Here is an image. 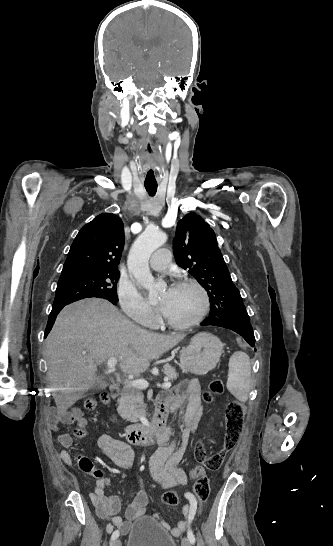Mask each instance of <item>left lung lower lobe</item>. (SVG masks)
Listing matches in <instances>:
<instances>
[{
  "mask_svg": "<svg viewBox=\"0 0 333 546\" xmlns=\"http://www.w3.org/2000/svg\"><path fill=\"white\" fill-rule=\"evenodd\" d=\"M201 325H215L233 330L240 334L250 346L254 347V332L250 323V317L246 310L236 312L231 318L227 319L208 317Z\"/></svg>",
  "mask_w": 333,
  "mask_h": 546,
  "instance_id": "obj_1",
  "label": "left lung lower lobe"
}]
</instances>
